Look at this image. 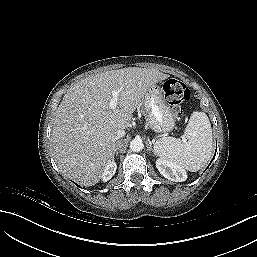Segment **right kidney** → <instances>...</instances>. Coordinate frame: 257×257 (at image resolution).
Instances as JSON below:
<instances>
[{
  "label": "right kidney",
  "instance_id": "right-kidney-1",
  "mask_svg": "<svg viewBox=\"0 0 257 257\" xmlns=\"http://www.w3.org/2000/svg\"><path fill=\"white\" fill-rule=\"evenodd\" d=\"M117 165L114 161H109L103 168L101 179L106 182L112 178L116 172Z\"/></svg>",
  "mask_w": 257,
  "mask_h": 257
}]
</instances>
